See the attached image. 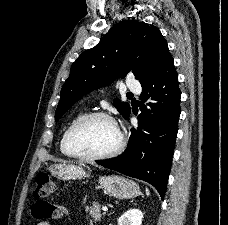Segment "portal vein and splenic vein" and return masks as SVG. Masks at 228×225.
I'll use <instances>...</instances> for the list:
<instances>
[{"label": "portal vein and splenic vein", "mask_w": 228, "mask_h": 225, "mask_svg": "<svg viewBox=\"0 0 228 225\" xmlns=\"http://www.w3.org/2000/svg\"><path fill=\"white\" fill-rule=\"evenodd\" d=\"M103 211H108L107 207H102Z\"/></svg>", "instance_id": "1"}]
</instances>
